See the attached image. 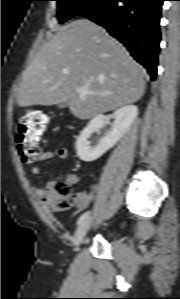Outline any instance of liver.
Here are the masks:
<instances>
[{"label":"liver","mask_w":180,"mask_h":299,"mask_svg":"<svg viewBox=\"0 0 180 299\" xmlns=\"http://www.w3.org/2000/svg\"><path fill=\"white\" fill-rule=\"evenodd\" d=\"M144 76L142 66L119 41L95 23L80 19L60 27L42 47L22 77L17 104L67 102L75 117L90 119L138 101L146 87ZM80 87L100 94L81 96L76 93Z\"/></svg>","instance_id":"obj_1"}]
</instances>
